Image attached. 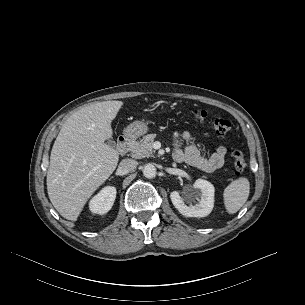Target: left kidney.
Masks as SVG:
<instances>
[{"instance_id":"obj_1","label":"left kidney","mask_w":305,"mask_h":305,"mask_svg":"<svg viewBox=\"0 0 305 305\" xmlns=\"http://www.w3.org/2000/svg\"><path fill=\"white\" fill-rule=\"evenodd\" d=\"M193 188L200 191L195 196L198 203L193 205L190 197H181L178 191H173L170 194V198L174 207L186 217L208 216L214 207V186L207 180L197 179L193 184Z\"/></svg>"}]
</instances>
